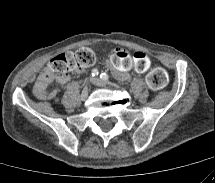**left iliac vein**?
Returning a JSON list of instances; mask_svg holds the SVG:
<instances>
[{"mask_svg":"<svg viewBox=\"0 0 215 183\" xmlns=\"http://www.w3.org/2000/svg\"><path fill=\"white\" fill-rule=\"evenodd\" d=\"M91 82L96 85V86H100V87H107L109 85V83L102 81L99 78H91Z\"/></svg>","mask_w":215,"mask_h":183,"instance_id":"4c4485c4","label":"left iliac vein"}]
</instances>
